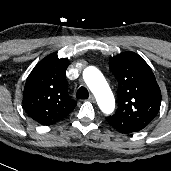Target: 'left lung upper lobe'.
I'll list each match as a JSON object with an SVG mask.
<instances>
[{
  "mask_svg": "<svg viewBox=\"0 0 171 171\" xmlns=\"http://www.w3.org/2000/svg\"><path fill=\"white\" fill-rule=\"evenodd\" d=\"M109 67L119 84L118 109L106 120L115 129L145 128L156 117L161 105V91L152 70L134 52L110 58Z\"/></svg>",
  "mask_w": 171,
  "mask_h": 171,
  "instance_id": "obj_1",
  "label": "left lung upper lobe"
}]
</instances>
